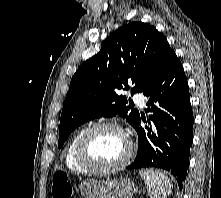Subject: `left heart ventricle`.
I'll list each match as a JSON object with an SVG mask.
<instances>
[{"label": "left heart ventricle", "instance_id": "left-heart-ventricle-1", "mask_svg": "<svg viewBox=\"0 0 221 198\" xmlns=\"http://www.w3.org/2000/svg\"><path fill=\"white\" fill-rule=\"evenodd\" d=\"M87 150L94 163L111 166L122 160L127 150V143L118 131L102 129L91 135Z\"/></svg>", "mask_w": 221, "mask_h": 198}]
</instances>
